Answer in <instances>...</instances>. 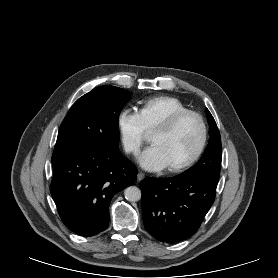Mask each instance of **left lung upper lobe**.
Returning a JSON list of instances; mask_svg holds the SVG:
<instances>
[{"instance_id":"1","label":"left lung upper lobe","mask_w":278,"mask_h":278,"mask_svg":"<svg viewBox=\"0 0 278 278\" xmlns=\"http://www.w3.org/2000/svg\"><path fill=\"white\" fill-rule=\"evenodd\" d=\"M206 114L210 126L209 144L199 162L178 176L203 178L218 182L222 160L220 133L216 122L208 109H206Z\"/></svg>"}]
</instances>
